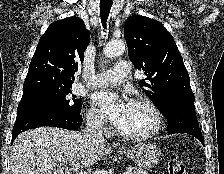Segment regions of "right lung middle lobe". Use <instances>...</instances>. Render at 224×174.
I'll list each match as a JSON object with an SVG mask.
<instances>
[{
	"label": "right lung middle lobe",
	"instance_id": "1",
	"mask_svg": "<svg viewBox=\"0 0 224 174\" xmlns=\"http://www.w3.org/2000/svg\"><path fill=\"white\" fill-rule=\"evenodd\" d=\"M70 88H45L23 94L17 110L39 108L58 115H78L82 104L75 95L71 96Z\"/></svg>",
	"mask_w": 224,
	"mask_h": 174
}]
</instances>
